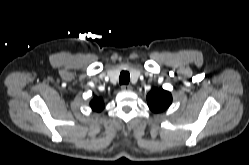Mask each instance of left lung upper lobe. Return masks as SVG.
Returning a JSON list of instances; mask_svg holds the SVG:
<instances>
[{"mask_svg":"<svg viewBox=\"0 0 249 165\" xmlns=\"http://www.w3.org/2000/svg\"><path fill=\"white\" fill-rule=\"evenodd\" d=\"M147 103L153 112H162L172 103L171 93L162 88H154L147 95Z\"/></svg>","mask_w":249,"mask_h":165,"instance_id":"obj_1","label":"left lung upper lobe"}]
</instances>
